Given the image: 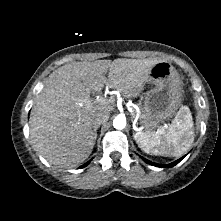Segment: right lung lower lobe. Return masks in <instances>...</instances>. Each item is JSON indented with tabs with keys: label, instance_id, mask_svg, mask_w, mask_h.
Listing matches in <instances>:
<instances>
[{
	"label": "right lung lower lobe",
	"instance_id": "98d812e1",
	"mask_svg": "<svg viewBox=\"0 0 221 221\" xmlns=\"http://www.w3.org/2000/svg\"><path fill=\"white\" fill-rule=\"evenodd\" d=\"M90 161H91V160H90ZM90 161H88L87 163L83 164V165L80 166L79 168H83V167L87 166V165L89 164Z\"/></svg>",
	"mask_w": 221,
	"mask_h": 221
}]
</instances>
